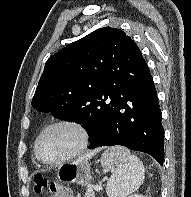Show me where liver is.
I'll return each instance as SVG.
<instances>
[{"instance_id":"liver-1","label":"liver","mask_w":191,"mask_h":197,"mask_svg":"<svg viewBox=\"0 0 191 197\" xmlns=\"http://www.w3.org/2000/svg\"><path fill=\"white\" fill-rule=\"evenodd\" d=\"M96 152H92L88 155L82 156L78 160L74 161L75 163L82 162V161H87L89 158H91L92 155H94Z\"/></svg>"}]
</instances>
